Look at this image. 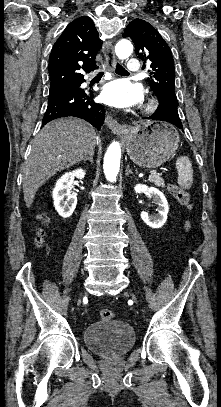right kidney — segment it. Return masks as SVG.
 <instances>
[{
	"label": "right kidney",
	"instance_id": "ca27d5eb",
	"mask_svg": "<svg viewBox=\"0 0 221 407\" xmlns=\"http://www.w3.org/2000/svg\"><path fill=\"white\" fill-rule=\"evenodd\" d=\"M86 172L83 169H77L62 175L53 189L54 207L58 214L63 218L72 215L76 208L77 197L71 192L74 178L83 179Z\"/></svg>",
	"mask_w": 221,
	"mask_h": 407
}]
</instances>
